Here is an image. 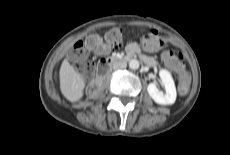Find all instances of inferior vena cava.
I'll return each mask as SVG.
<instances>
[{
  "mask_svg": "<svg viewBox=\"0 0 230 155\" xmlns=\"http://www.w3.org/2000/svg\"><path fill=\"white\" fill-rule=\"evenodd\" d=\"M126 66H127V63L125 61H118V62L114 63L113 69L114 70L124 69V68H126Z\"/></svg>",
  "mask_w": 230,
  "mask_h": 155,
  "instance_id": "602c4592",
  "label": "inferior vena cava"
}]
</instances>
